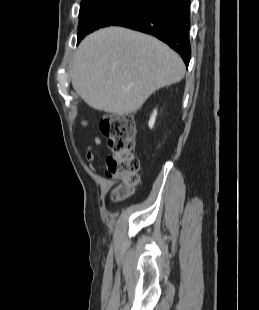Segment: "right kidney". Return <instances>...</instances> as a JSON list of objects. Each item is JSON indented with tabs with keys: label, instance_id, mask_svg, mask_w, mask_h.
I'll list each match as a JSON object with an SVG mask.
<instances>
[{
	"label": "right kidney",
	"instance_id": "ca27d5eb",
	"mask_svg": "<svg viewBox=\"0 0 259 310\" xmlns=\"http://www.w3.org/2000/svg\"><path fill=\"white\" fill-rule=\"evenodd\" d=\"M156 115H157V110H154L152 116L150 117L149 123H148L150 128H153V126H154Z\"/></svg>",
	"mask_w": 259,
	"mask_h": 310
}]
</instances>
